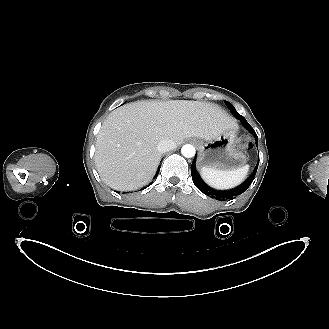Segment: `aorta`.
I'll return each mask as SVG.
<instances>
[{
	"instance_id": "1",
	"label": "aorta",
	"mask_w": 329,
	"mask_h": 329,
	"mask_svg": "<svg viewBox=\"0 0 329 329\" xmlns=\"http://www.w3.org/2000/svg\"><path fill=\"white\" fill-rule=\"evenodd\" d=\"M181 153L186 158H191L195 155V148L193 145L186 144L181 148Z\"/></svg>"
}]
</instances>
